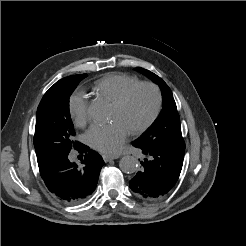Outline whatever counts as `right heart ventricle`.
<instances>
[{"instance_id": "obj_1", "label": "right heart ventricle", "mask_w": 246, "mask_h": 246, "mask_svg": "<svg viewBox=\"0 0 246 246\" xmlns=\"http://www.w3.org/2000/svg\"><path fill=\"white\" fill-rule=\"evenodd\" d=\"M134 76L122 73L108 74L95 82V92L110 101L117 99L127 88L139 83Z\"/></svg>"}]
</instances>
